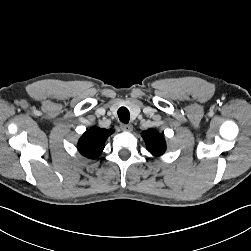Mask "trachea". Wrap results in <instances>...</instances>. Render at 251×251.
<instances>
[{"instance_id": "obj_1", "label": "trachea", "mask_w": 251, "mask_h": 251, "mask_svg": "<svg viewBox=\"0 0 251 251\" xmlns=\"http://www.w3.org/2000/svg\"><path fill=\"white\" fill-rule=\"evenodd\" d=\"M118 117L122 123L128 124L130 119L129 110L126 107H120L118 109Z\"/></svg>"}]
</instances>
